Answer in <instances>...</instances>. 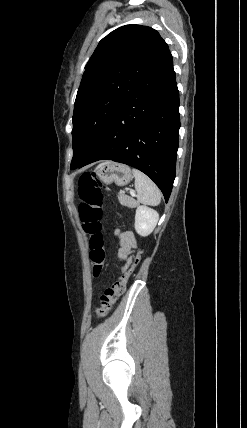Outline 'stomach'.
Here are the masks:
<instances>
[{
    "mask_svg": "<svg viewBox=\"0 0 247 428\" xmlns=\"http://www.w3.org/2000/svg\"><path fill=\"white\" fill-rule=\"evenodd\" d=\"M96 174L104 184L115 183L117 186H125L132 179L129 166L116 162H105L98 166Z\"/></svg>",
    "mask_w": 247,
    "mask_h": 428,
    "instance_id": "1",
    "label": "stomach"
}]
</instances>
